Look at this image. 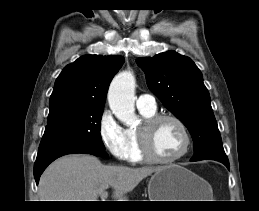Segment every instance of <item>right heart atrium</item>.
<instances>
[{"instance_id":"1","label":"right heart atrium","mask_w":259,"mask_h":211,"mask_svg":"<svg viewBox=\"0 0 259 211\" xmlns=\"http://www.w3.org/2000/svg\"><path fill=\"white\" fill-rule=\"evenodd\" d=\"M98 134L105 149L117 160L127 156L125 129L115 119L109 109H104L98 120Z\"/></svg>"}]
</instances>
